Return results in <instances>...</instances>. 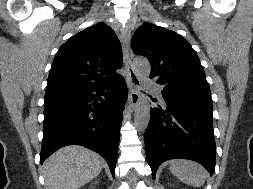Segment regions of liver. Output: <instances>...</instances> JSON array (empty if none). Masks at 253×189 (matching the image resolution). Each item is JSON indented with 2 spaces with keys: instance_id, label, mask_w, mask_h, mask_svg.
Instances as JSON below:
<instances>
[{
  "instance_id": "1",
  "label": "liver",
  "mask_w": 253,
  "mask_h": 189,
  "mask_svg": "<svg viewBox=\"0 0 253 189\" xmlns=\"http://www.w3.org/2000/svg\"><path fill=\"white\" fill-rule=\"evenodd\" d=\"M103 163L82 146L61 148L44 162L45 189H79L99 175Z\"/></svg>"
}]
</instances>
